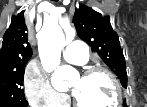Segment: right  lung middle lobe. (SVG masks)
<instances>
[{
    "label": "right lung middle lobe",
    "instance_id": "1",
    "mask_svg": "<svg viewBox=\"0 0 147 107\" xmlns=\"http://www.w3.org/2000/svg\"><path fill=\"white\" fill-rule=\"evenodd\" d=\"M25 68L0 74V107H27L23 86Z\"/></svg>",
    "mask_w": 147,
    "mask_h": 107
}]
</instances>
